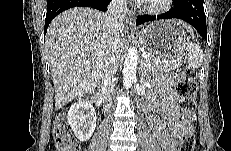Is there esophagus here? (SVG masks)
Here are the masks:
<instances>
[{"instance_id":"34e87169","label":"esophagus","mask_w":231,"mask_h":151,"mask_svg":"<svg viewBox=\"0 0 231 151\" xmlns=\"http://www.w3.org/2000/svg\"><path fill=\"white\" fill-rule=\"evenodd\" d=\"M135 20H136L135 12L132 11V10H128L127 16H126V22H127L129 25L134 26Z\"/></svg>"}]
</instances>
